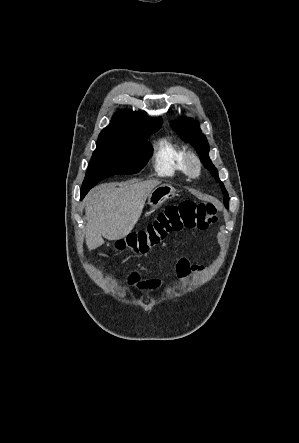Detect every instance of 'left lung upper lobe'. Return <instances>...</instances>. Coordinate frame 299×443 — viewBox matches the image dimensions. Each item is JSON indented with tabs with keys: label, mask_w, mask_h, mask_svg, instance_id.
<instances>
[{
	"label": "left lung upper lobe",
	"mask_w": 299,
	"mask_h": 443,
	"mask_svg": "<svg viewBox=\"0 0 299 443\" xmlns=\"http://www.w3.org/2000/svg\"><path fill=\"white\" fill-rule=\"evenodd\" d=\"M173 129L181 135L184 141L191 143L192 146L195 147L197 153L200 155V159L203 165L210 171L213 176H215L216 180H219L218 171L212 164L208 155L209 145L207 139L201 133L198 122L193 121L189 118H182L173 125ZM219 183L223 190V194L225 195L224 204L226 207H228V193L224 187V184L221 181Z\"/></svg>",
	"instance_id": "left-lung-upper-lobe-1"
}]
</instances>
